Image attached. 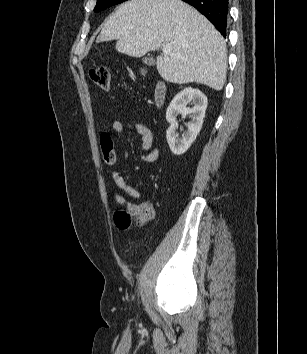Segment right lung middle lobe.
I'll list each match as a JSON object with an SVG mask.
<instances>
[{"label":"right lung middle lobe","instance_id":"dd1d6c3e","mask_svg":"<svg viewBox=\"0 0 307 354\" xmlns=\"http://www.w3.org/2000/svg\"><path fill=\"white\" fill-rule=\"evenodd\" d=\"M124 1H127V0H97V4L95 6L94 11L95 12L101 11V10H104L108 7H111L113 5H116V4L124 2Z\"/></svg>","mask_w":307,"mask_h":354}]
</instances>
